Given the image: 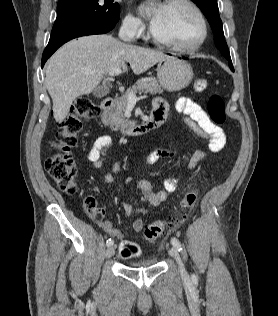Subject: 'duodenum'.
I'll return each mask as SVG.
<instances>
[{"label": "duodenum", "mask_w": 278, "mask_h": 316, "mask_svg": "<svg viewBox=\"0 0 278 316\" xmlns=\"http://www.w3.org/2000/svg\"><path fill=\"white\" fill-rule=\"evenodd\" d=\"M114 105V99L111 97L105 98L100 103V111L103 118L111 110ZM163 122V116L160 112L153 111L149 119L141 124L131 125L120 132L127 135H139L149 133L155 130Z\"/></svg>", "instance_id": "410a0bca"}]
</instances>
